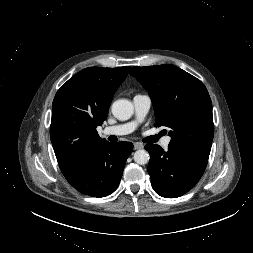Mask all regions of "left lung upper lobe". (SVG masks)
I'll return each instance as SVG.
<instances>
[{
  "mask_svg": "<svg viewBox=\"0 0 253 253\" xmlns=\"http://www.w3.org/2000/svg\"><path fill=\"white\" fill-rule=\"evenodd\" d=\"M130 75L149 92L155 125L170 129L169 147L208 160L214 125L212 103L204 84L171 64L132 67Z\"/></svg>",
  "mask_w": 253,
  "mask_h": 253,
  "instance_id": "5c2ea615",
  "label": "left lung upper lobe"
}]
</instances>
